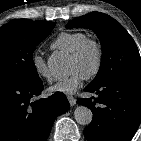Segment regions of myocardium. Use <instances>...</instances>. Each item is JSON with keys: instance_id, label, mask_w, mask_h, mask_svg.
<instances>
[{"instance_id": "1", "label": "myocardium", "mask_w": 141, "mask_h": 141, "mask_svg": "<svg viewBox=\"0 0 141 141\" xmlns=\"http://www.w3.org/2000/svg\"><path fill=\"white\" fill-rule=\"evenodd\" d=\"M88 47L94 48L96 53V62L93 69L87 75H85V79L87 80L93 79L101 71L103 60H104V51H103L102 44L94 38H86L71 53V58L79 59L81 58V56L84 54V52L86 51Z\"/></svg>"}]
</instances>
